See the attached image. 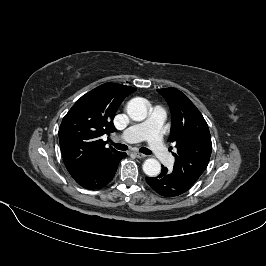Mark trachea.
<instances>
[{
    "instance_id": "3493384b",
    "label": "trachea",
    "mask_w": 266,
    "mask_h": 266,
    "mask_svg": "<svg viewBox=\"0 0 266 266\" xmlns=\"http://www.w3.org/2000/svg\"><path fill=\"white\" fill-rule=\"evenodd\" d=\"M112 145L118 149V150H121V151H126L128 149V147L124 144H120V143H112ZM140 151L146 155H150L151 154V151L147 148H141Z\"/></svg>"
}]
</instances>
